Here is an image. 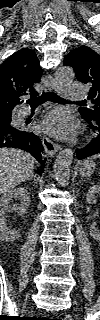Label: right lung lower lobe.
<instances>
[{
  "label": "right lung lower lobe",
  "instance_id": "right-lung-lower-lobe-1",
  "mask_svg": "<svg viewBox=\"0 0 100 320\" xmlns=\"http://www.w3.org/2000/svg\"><path fill=\"white\" fill-rule=\"evenodd\" d=\"M0 147H14L29 152L44 168L45 160H42L43 145L40 138L26 129H16L12 126L0 130ZM40 174V173H39Z\"/></svg>",
  "mask_w": 100,
  "mask_h": 320
}]
</instances>
